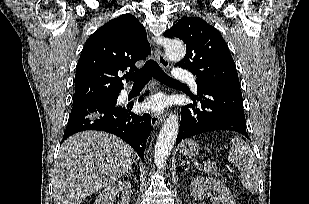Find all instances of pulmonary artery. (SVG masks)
Masks as SVG:
<instances>
[{"mask_svg": "<svg viewBox=\"0 0 309 204\" xmlns=\"http://www.w3.org/2000/svg\"><path fill=\"white\" fill-rule=\"evenodd\" d=\"M173 75L179 80L187 81L193 89L197 88L195 77L191 72L183 69H178L173 72Z\"/></svg>", "mask_w": 309, "mask_h": 204, "instance_id": "e3ab8cb5", "label": "pulmonary artery"}]
</instances>
